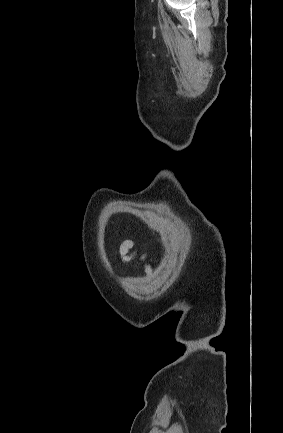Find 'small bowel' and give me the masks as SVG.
<instances>
[{
    "mask_svg": "<svg viewBox=\"0 0 283 433\" xmlns=\"http://www.w3.org/2000/svg\"><path fill=\"white\" fill-rule=\"evenodd\" d=\"M119 254L123 261L130 262L134 260L137 256L136 250H134V242L132 240H125L121 243L119 247ZM144 258V256H142ZM147 274L150 273V267L145 268Z\"/></svg>",
    "mask_w": 283,
    "mask_h": 433,
    "instance_id": "c3829d8e",
    "label": "small bowel"
}]
</instances>
